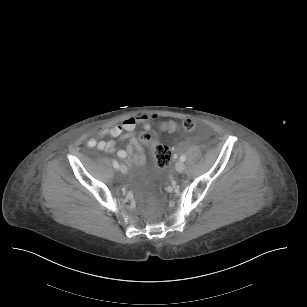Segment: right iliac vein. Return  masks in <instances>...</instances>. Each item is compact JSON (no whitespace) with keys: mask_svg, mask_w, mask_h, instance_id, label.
<instances>
[{"mask_svg":"<svg viewBox=\"0 0 307 307\" xmlns=\"http://www.w3.org/2000/svg\"><path fill=\"white\" fill-rule=\"evenodd\" d=\"M120 170H121L122 173H125L127 171V168H126L125 165H121Z\"/></svg>","mask_w":307,"mask_h":307,"instance_id":"1","label":"right iliac vein"}]
</instances>
